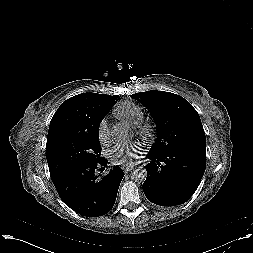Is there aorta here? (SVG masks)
Returning <instances> with one entry per match:
<instances>
[{
	"instance_id": "aorta-1",
	"label": "aorta",
	"mask_w": 253,
	"mask_h": 253,
	"mask_svg": "<svg viewBox=\"0 0 253 253\" xmlns=\"http://www.w3.org/2000/svg\"><path fill=\"white\" fill-rule=\"evenodd\" d=\"M112 136L118 141H125L132 137L130 127L124 123H118L112 128ZM147 177V171L145 169H135L131 173V178L135 182H143Z\"/></svg>"
}]
</instances>
